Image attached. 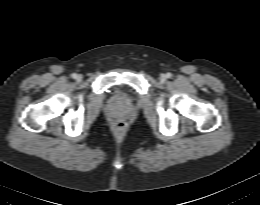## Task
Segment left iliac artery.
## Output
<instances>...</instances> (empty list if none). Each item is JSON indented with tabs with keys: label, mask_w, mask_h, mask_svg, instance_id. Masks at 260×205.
I'll list each match as a JSON object with an SVG mask.
<instances>
[{
	"label": "left iliac artery",
	"mask_w": 260,
	"mask_h": 205,
	"mask_svg": "<svg viewBox=\"0 0 260 205\" xmlns=\"http://www.w3.org/2000/svg\"><path fill=\"white\" fill-rule=\"evenodd\" d=\"M166 77H167V78H171V77H172V74H171V73H167V74H166Z\"/></svg>",
	"instance_id": "44dca946"
}]
</instances>
